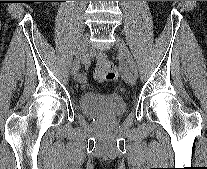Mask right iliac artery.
<instances>
[{
    "label": "right iliac artery",
    "mask_w": 207,
    "mask_h": 169,
    "mask_svg": "<svg viewBox=\"0 0 207 169\" xmlns=\"http://www.w3.org/2000/svg\"><path fill=\"white\" fill-rule=\"evenodd\" d=\"M82 63L86 68L89 66L90 60H89L88 55L83 56ZM78 79H79L80 82H84L85 79H86L85 74H79Z\"/></svg>",
    "instance_id": "1"
}]
</instances>
